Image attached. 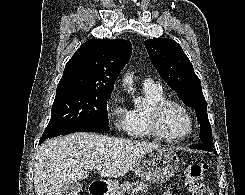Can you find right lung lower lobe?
Instances as JSON below:
<instances>
[{"mask_svg":"<svg viewBox=\"0 0 245 195\" xmlns=\"http://www.w3.org/2000/svg\"><path fill=\"white\" fill-rule=\"evenodd\" d=\"M110 128L108 125L106 124H100V123H96V124H88V125H84L81 127H78L66 134H70V133H74V132H101V131H108ZM64 134V135H66ZM43 141H40V143H42Z\"/></svg>","mask_w":245,"mask_h":195,"instance_id":"obj_1","label":"right lung lower lobe"}]
</instances>
